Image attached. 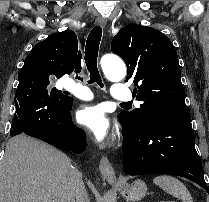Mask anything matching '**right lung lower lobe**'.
<instances>
[{
    "mask_svg": "<svg viewBox=\"0 0 209 202\" xmlns=\"http://www.w3.org/2000/svg\"><path fill=\"white\" fill-rule=\"evenodd\" d=\"M15 96L11 136L25 133L59 149L84 151L85 132L71 120L73 98L66 96L61 101L32 80L19 82Z\"/></svg>",
    "mask_w": 209,
    "mask_h": 202,
    "instance_id": "obj_1",
    "label": "right lung lower lobe"
}]
</instances>
